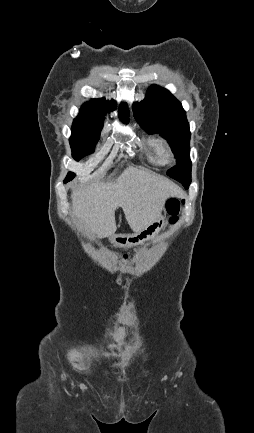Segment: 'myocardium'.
Masks as SVG:
<instances>
[{"mask_svg": "<svg viewBox=\"0 0 254 433\" xmlns=\"http://www.w3.org/2000/svg\"><path fill=\"white\" fill-rule=\"evenodd\" d=\"M164 158H165V161L168 163H174L175 162L174 154L170 149H165Z\"/></svg>", "mask_w": 254, "mask_h": 433, "instance_id": "f54148a6", "label": "myocardium"}]
</instances>
